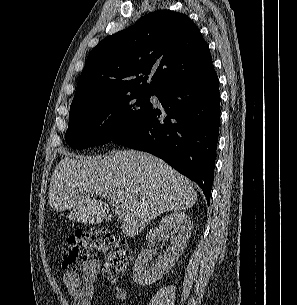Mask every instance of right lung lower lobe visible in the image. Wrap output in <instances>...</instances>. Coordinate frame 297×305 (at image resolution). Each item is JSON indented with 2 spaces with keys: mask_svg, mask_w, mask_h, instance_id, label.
<instances>
[{
  "mask_svg": "<svg viewBox=\"0 0 297 305\" xmlns=\"http://www.w3.org/2000/svg\"><path fill=\"white\" fill-rule=\"evenodd\" d=\"M154 108L111 142L149 152L196 182L210 202L220 125L219 81L203 78L161 89Z\"/></svg>",
  "mask_w": 297,
  "mask_h": 305,
  "instance_id": "right-lung-lower-lobe-1",
  "label": "right lung lower lobe"
}]
</instances>
